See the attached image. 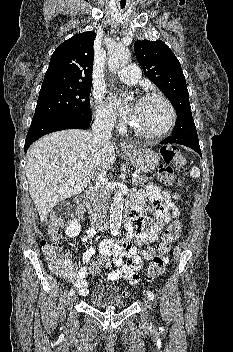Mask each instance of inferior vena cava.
Listing matches in <instances>:
<instances>
[{"label": "inferior vena cava", "instance_id": "obj_1", "mask_svg": "<svg viewBox=\"0 0 233 352\" xmlns=\"http://www.w3.org/2000/svg\"><path fill=\"white\" fill-rule=\"evenodd\" d=\"M114 128V121L106 114H96L92 125L93 140L102 145L112 137L111 131ZM95 195L98 202V212L95 222L102 223L107 218V210L109 205V185L106 177V171L103 168H98L94 176Z\"/></svg>", "mask_w": 233, "mask_h": 352}]
</instances>
